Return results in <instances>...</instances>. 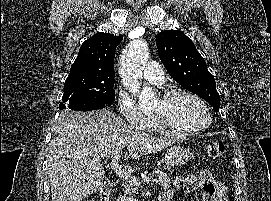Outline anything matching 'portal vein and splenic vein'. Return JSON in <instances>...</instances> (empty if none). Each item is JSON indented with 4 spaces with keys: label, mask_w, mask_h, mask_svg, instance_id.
<instances>
[{
    "label": "portal vein and splenic vein",
    "mask_w": 271,
    "mask_h": 201,
    "mask_svg": "<svg viewBox=\"0 0 271 201\" xmlns=\"http://www.w3.org/2000/svg\"><path fill=\"white\" fill-rule=\"evenodd\" d=\"M109 157H113L110 166L111 168L122 178H124L125 180H127L129 183H131L132 185H139L140 182L139 180L132 175L131 173H129L128 171L124 170L118 162L119 159V153H115L114 156H109ZM153 183H158L157 179H153Z\"/></svg>",
    "instance_id": "portal-vein-and-splenic-vein-1"
}]
</instances>
